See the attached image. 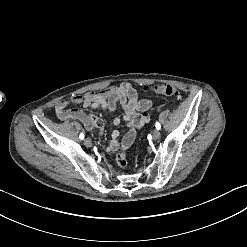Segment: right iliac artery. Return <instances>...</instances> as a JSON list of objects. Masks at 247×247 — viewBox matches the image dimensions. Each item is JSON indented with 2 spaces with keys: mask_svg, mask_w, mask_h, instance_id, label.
<instances>
[{
  "mask_svg": "<svg viewBox=\"0 0 247 247\" xmlns=\"http://www.w3.org/2000/svg\"><path fill=\"white\" fill-rule=\"evenodd\" d=\"M79 138H80L81 140H83V139H84V133H80Z\"/></svg>",
  "mask_w": 247,
  "mask_h": 247,
  "instance_id": "right-iliac-artery-1",
  "label": "right iliac artery"
}]
</instances>
